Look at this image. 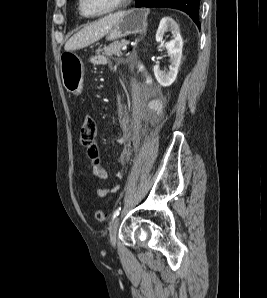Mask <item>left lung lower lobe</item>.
<instances>
[{"mask_svg": "<svg viewBox=\"0 0 267 298\" xmlns=\"http://www.w3.org/2000/svg\"><path fill=\"white\" fill-rule=\"evenodd\" d=\"M200 0H135L136 7H167L179 9L187 13L200 28L199 22Z\"/></svg>", "mask_w": 267, "mask_h": 298, "instance_id": "obj_1", "label": "left lung lower lobe"}]
</instances>
